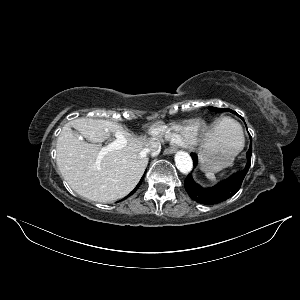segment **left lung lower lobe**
Here are the masks:
<instances>
[{
    "instance_id": "1",
    "label": "left lung lower lobe",
    "mask_w": 300,
    "mask_h": 300,
    "mask_svg": "<svg viewBox=\"0 0 300 300\" xmlns=\"http://www.w3.org/2000/svg\"><path fill=\"white\" fill-rule=\"evenodd\" d=\"M252 154V139L250 136V148L246 153L248 162L246 167L242 171H238L228 179L220 182L211 188H203L197 184L191 175H188L185 179V189L188 195L198 203L205 205H213L225 201L232 197L241 187L243 179L249 170L251 165ZM194 165H197V155L191 154Z\"/></svg>"
}]
</instances>
